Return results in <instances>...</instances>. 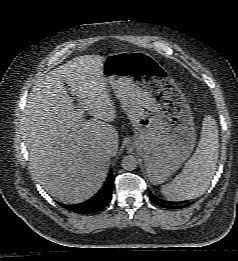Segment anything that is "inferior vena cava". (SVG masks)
<instances>
[{
    "label": "inferior vena cava",
    "mask_w": 238,
    "mask_h": 261,
    "mask_svg": "<svg viewBox=\"0 0 238 261\" xmlns=\"http://www.w3.org/2000/svg\"><path fill=\"white\" fill-rule=\"evenodd\" d=\"M105 148H106V151L110 154L112 150H111V147L109 146V144H107L105 146Z\"/></svg>",
    "instance_id": "602c4592"
}]
</instances>
